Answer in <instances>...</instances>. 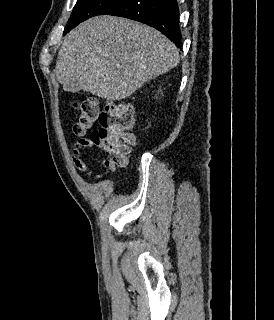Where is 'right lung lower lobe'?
Wrapping results in <instances>:
<instances>
[{
	"label": "right lung lower lobe",
	"instance_id": "obj_1",
	"mask_svg": "<svg viewBox=\"0 0 274 320\" xmlns=\"http://www.w3.org/2000/svg\"><path fill=\"white\" fill-rule=\"evenodd\" d=\"M103 14L125 17L152 26L181 48L177 0H118L100 15Z\"/></svg>",
	"mask_w": 274,
	"mask_h": 320
}]
</instances>
